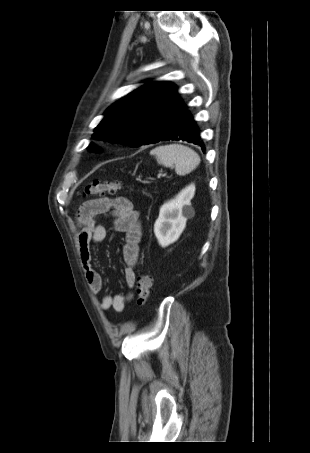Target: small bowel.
I'll use <instances>...</instances> for the list:
<instances>
[{"label":"small bowel","instance_id":"1","mask_svg":"<svg viewBox=\"0 0 310 453\" xmlns=\"http://www.w3.org/2000/svg\"><path fill=\"white\" fill-rule=\"evenodd\" d=\"M104 215H110L113 219V228L125 235L123 245L124 279L130 292L126 295H105L99 306L102 310H108L112 307L121 312L131 299V290L136 282V266L139 260V243L141 240L140 215L134 209L132 202L125 197H101L87 200L79 207L77 223L80 228L78 233L80 257L86 281L94 294H99L102 291L103 279L92 267L90 244L102 242L106 238V227L99 222V218Z\"/></svg>","mask_w":310,"mask_h":453}]
</instances>
